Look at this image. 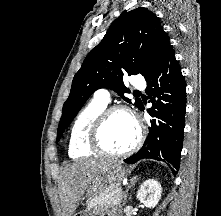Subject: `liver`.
<instances>
[{
  "mask_svg": "<svg viewBox=\"0 0 221 216\" xmlns=\"http://www.w3.org/2000/svg\"><path fill=\"white\" fill-rule=\"evenodd\" d=\"M113 163L111 159H80L64 168L58 185L63 216L75 212L89 185Z\"/></svg>",
  "mask_w": 221,
  "mask_h": 216,
  "instance_id": "liver-1",
  "label": "liver"
}]
</instances>
